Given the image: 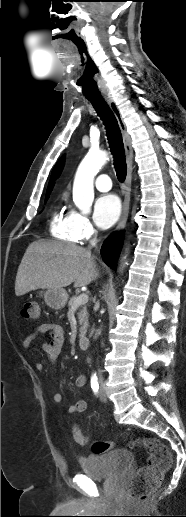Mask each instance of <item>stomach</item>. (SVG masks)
I'll return each mask as SVG.
<instances>
[{"mask_svg":"<svg viewBox=\"0 0 186 517\" xmlns=\"http://www.w3.org/2000/svg\"><path fill=\"white\" fill-rule=\"evenodd\" d=\"M40 296L44 297L45 303L53 309H62L67 302L68 294L65 289H47L41 291Z\"/></svg>","mask_w":186,"mask_h":517,"instance_id":"stomach-1","label":"stomach"}]
</instances>
